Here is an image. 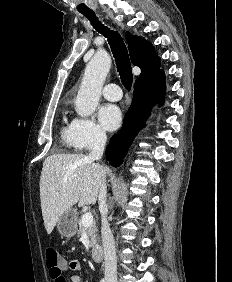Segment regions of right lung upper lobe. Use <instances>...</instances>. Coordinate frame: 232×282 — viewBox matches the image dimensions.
<instances>
[{
	"label": "right lung upper lobe",
	"mask_w": 232,
	"mask_h": 282,
	"mask_svg": "<svg viewBox=\"0 0 232 282\" xmlns=\"http://www.w3.org/2000/svg\"><path fill=\"white\" fill-rule=\"evenodd\" d=\"M126 40L132 64L140 67L142 76H147L159 71L160 58L154 51L152 44L129 32L126 33Z\"/></svg>",
	"instance_id": "obj_1"
}]
</instances>
